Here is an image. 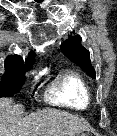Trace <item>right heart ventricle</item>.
<instances>
[{"label":"right heart ventricle","mask_w":117,"mask_h":136,"mask_svg":"<svg viewBox=\"0 0 117 136\" xmlns=\"http://www.w3.org/2000/svg\"><path fill=\"white\" fill-rule=\"evenodd\" d=\"M91 92L86 81L74 71L58 75L49 85L46 100L54 105L82 111L91 104Z\"/></svg>","instance_id":"obj_1"}]
</instances>
